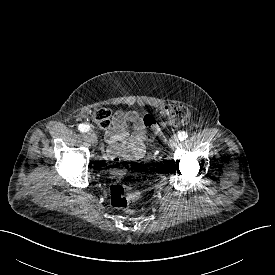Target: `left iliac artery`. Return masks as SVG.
<instances>
[{"mask_svg": "<svg viewBox=\"0 0 275 275\" xmlns=\"http://www.w3.org/2000/svg\"><path fill=\"white\" fill-rule=\"evenodd\" d=\"M188 137V133L185 132V131H180L178 133V138L182 141V140H185L186 138Z\"/></svg>", "mask_w": 275, "mask_h": 275, "instance_id": "obj_1", "label": "left iliac artery"}]
</instances>
